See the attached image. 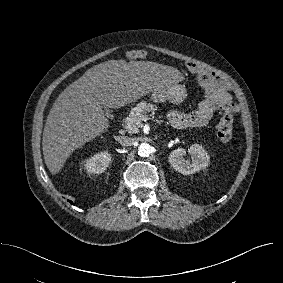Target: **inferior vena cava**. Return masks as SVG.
<instances>
[{"label":"inferior vena cava","mask_w":283,"mask_h":283,"mask_svg":"<svg viewBox=\"0 0 283 283\" xmlns=\"http://www.w3.org/2000/svg\"><path fill=\"white\" fill-rule=\"evenodd\" d=\"M117 141L122 145V146H129L132 142L131 138L127 136H117Z\"/></svg>","instance_id":"602c4592"}]
</instances>
